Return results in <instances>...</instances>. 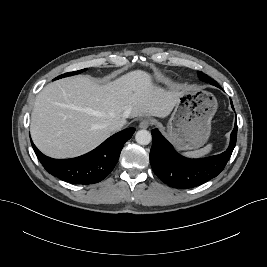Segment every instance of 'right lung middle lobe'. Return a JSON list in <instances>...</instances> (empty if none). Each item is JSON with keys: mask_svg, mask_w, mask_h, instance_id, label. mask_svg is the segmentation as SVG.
Masks as SVG:
<instances>
[{"mask_svg": "<svg viewBox=\"0 0 267 267\" xmlns=\"http://www.w3.org/2000/svg\"><path fill=\"white\" fill-rule=\"evenodd\" d=\"M85 70H86V69H82V70H79V71H74V72L65 73V74H62V75L56 77L54 80H56V79H60V78H63V77H67V76L76 75V74H79V73H81V72H83V71H85Z\"/></svg>", "mask_w": 267, "mask_h": 267, "instance_id": "obj_1", "label": "right lung middle lobe"}]
</instances>
